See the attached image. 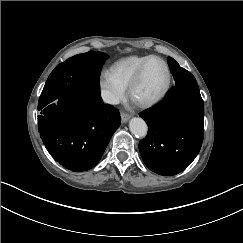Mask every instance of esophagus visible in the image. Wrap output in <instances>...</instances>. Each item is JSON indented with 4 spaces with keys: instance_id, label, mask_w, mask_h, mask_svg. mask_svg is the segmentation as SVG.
I'll use <instances>...</instances> for the list:
<instances>
[{
    "instance_id": "obj_1",
    "label": "esophagus",
    "mask_w": 243,
    "mask_h": 243,
    "mask_svg": "<svg viewBox=\"0 0 243 243\" xmlns=\"http://www.w3.org/2000/svg\"><path fill=\"white\" fill-rule=\"evenodd\" d=\"M130 115L129 114H121V121L123 122V123H126L129 119H130Z\"/></svg>"
}]
</instances>
